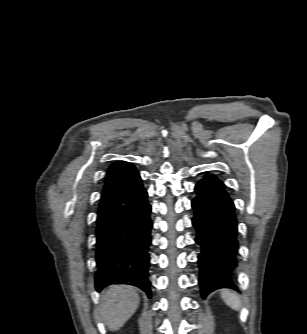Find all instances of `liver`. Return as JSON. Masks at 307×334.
Here are the masks:
<instances>
[{
    "label": "liver",
    "mask_w": 307,
    "mask_h": 334,
    "mask_svg": "<svg viewBox=\"0 0 307 334\" xmlns=\"http://www.w3.org/2000/svg\"><path fill=\"white\" fill-rule=\"evenodd\" d=\"M140 298L134 287L129 285L109 286L103 291L101 315L111 331L121 328L135 313Z\"/></svg>",
    "instance_id": "obj_1"
}]
</instances>
